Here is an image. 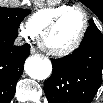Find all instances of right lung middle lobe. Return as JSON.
<instances>
[{
    "instance_id": "obj_1",
    "label": "right lung middle lobe",
    "mask_w": 103,
    "mask_h": 103,
    "mask_svg": "<svg viewBox=\"0 0 103 103\" xmlns=\"http://www.w3.org/2000/svg\"><path fill=\"white\" fill-rule=\"evenodd\" d=\"M29 13L25 9L0 7V32L17 37L20 23Z\"/></svg>"
}]
</instances>
